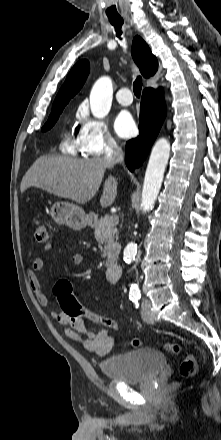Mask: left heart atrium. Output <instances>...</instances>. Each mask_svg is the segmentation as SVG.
I'll return each instance as SVG.
<instances>
[{
  "label": "left heart atrium",
  "mask_w": 221,
  "mask_h": 440,
  "mask_svg": "<svg viewBox=\"0 0 221 440\" xmlns=\"http://www.w3.org/2000/svg\"><path fill=\"white\" fill-rule=\"evenodd\" d=\"M114 128L120 137H130L136 131V124L130 113L121 112L115 119Z\"/></svg>",
  "instance_id": "obj_1"
}]
</instances>
